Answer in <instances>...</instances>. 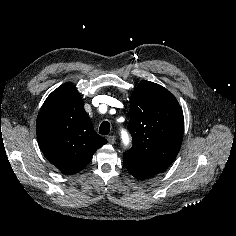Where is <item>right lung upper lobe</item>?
Returning a JSON list of instances; mask_svg holds the SVG:
<instances>
[{
	"label": "right lung upper lobe",
	"mask_w": 236,
	"mask_h": 236,
	"mask_svg": "<svg viewBox=\"0 0 236 236\" xmlns=\"http://www.w3.org/2000/svg\"><path fill=\"white\" fill-rule=\"evenodd\" d=\"M36 133L45 157L61 172L81 171L107 140L98 135L70 82L59 86L45 100L36 121Z\"/></svg>",
	"instance_id": "1"
}]
</instances>
